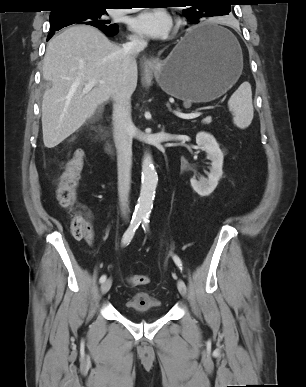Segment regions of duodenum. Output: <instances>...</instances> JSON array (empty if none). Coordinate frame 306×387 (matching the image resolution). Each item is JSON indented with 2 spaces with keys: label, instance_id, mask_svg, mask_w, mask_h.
Listing matches in <instances>:
<instances>
[{
  "label": "duodenum",
  "instance_id": "410a0bca",
  "mask_svg": "<svg viewBox=\"0 0 306 387\" xmlns=\"http://www.w3.org/2000/svg\"><path fill=\"white\" fill-rule=\"evenodd\" d=\"M106 151L109 154H113V152H114L113 145L110 142H108L107 145H106Z\"/></svg>",
  "mask_w": 306,
  "mask_h": 387
}]
</instances>
